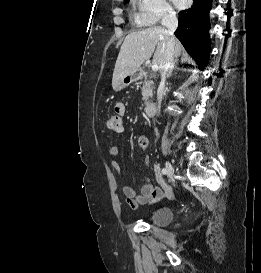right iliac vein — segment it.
Instances as JSON below:
<instances>
[{"instance_id": "obj_1", "label": "right iliac vein", "mask_w": 261, "mask_h": 273, "mask_svg": "<svg viewBox=\"0 0 261 273\" xmlns=\"http://www.w3.org/2000/svg\"><path fill=\"white\" fill-rule=\"evenodd\" d=\"M166 174L169 178H171L174 174V169H173V166L169 163V162H166Z\"/></svg>"}]
</instances>
